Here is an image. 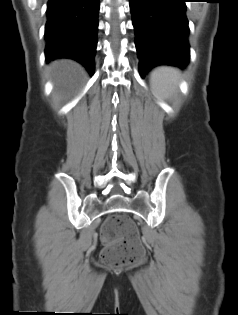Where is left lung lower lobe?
<instances>
[{
    "label": "left lung lower lobe",
    "instance_id": "1",
    "mask_svg": "<svg viewBox=\"0 0 238 315\" xmlns=\"http://www.w3.org/2000/svg\"><path fill=\"white\" fill-rule=\"evenodd\" d=\"M187 0H130L143 77L157 65L184 68L190 58Z\"/></svg>",
    "mask_w": 238,
    "mask_h": 315
}]
</instances>
